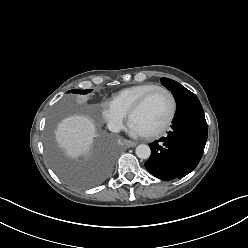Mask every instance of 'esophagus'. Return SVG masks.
Returning <instances> with one entry per match:
<instances>
[{
  "mask_svg": "<svg viewBox=\"0 0 248 248\" xmlns=\"http://www.w3.org/2000/svg\"><path fill=\"white\" fill-rule=\"evenodd\" d=\"M124 144L130 148V147H135L137 145V142L130 141V140H124Z\"/></svg>",
  "mask_w": 248,
  "mask_h": 248,
  "instance_id": "esophagus-1",
  "label": "esophagus"
}]
</instances>
